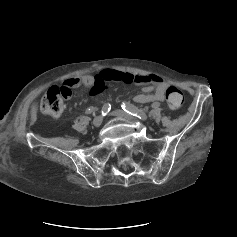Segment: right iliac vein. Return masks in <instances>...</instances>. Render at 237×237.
Here are the masks:
<instances>
[{
	"mask_svg": "<svg viewBox=\"0 0 237 237\" xmlns=\"http://www.w3.org/2000/svg\"><path fill=\"white\" fill-rule=\"evenodd\" d=\"M102 121H103L102 116L98 115V116H96V117L94 118V120H93V125H94L95 127H99V126L102 124Z\"/></svg>",
	"mask_w": 237,
	"mask_h": 237,
	"instance_id": "obj_1",
	"label": "right iliac vein"
}]
</instances>
